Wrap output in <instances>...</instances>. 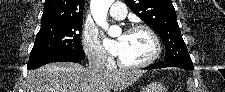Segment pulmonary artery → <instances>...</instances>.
Listing matches in <instances>:
<instances>
[{
  "mask_svg": "<svg viewBox=\"0 0 225 92\" xmlns=\"http://www.w3.org/2000/svg\"><path fill=\"white\" fill-rule=\"evenodd\" d=\"M111 17L114 19L122 20L125 18L127 13V7L123 2H113L111 3V8L109 10Z\"/></svg>",
  "mask_w": 225,
  "mask_h": 92,
  "instance_id": "e3ab8cb5",
  "label": "pulmonary artery"
}]
</instances>
